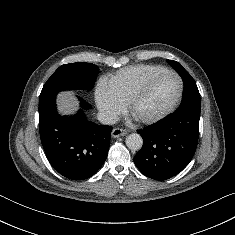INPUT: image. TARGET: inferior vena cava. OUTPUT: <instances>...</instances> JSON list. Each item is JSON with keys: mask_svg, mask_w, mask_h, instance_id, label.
Listing matches in <instances>:
<instances>
[{"mask_svg": "<svg viewBox=\"0 0 235 235\" xmlns=\"http://www.w3.org/2000/svg\"><path fill=\"white\" fill-rule=\"evenodd\" d=\"M97 117L102 124L112 125L116 122L115 117L106 111H99Z\"/></svg>", "mask_w": 235, "mask_h": 235, "instance_id": "1", "label": "inferior vena cava"}]
</instances>
